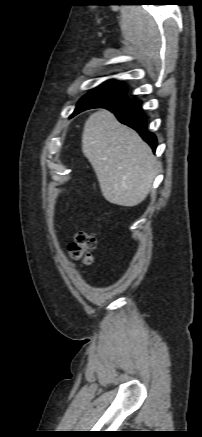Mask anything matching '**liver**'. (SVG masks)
<instances>
[{
    "label": "liver",
    "mask_w": 202,
    "mask_h": 437,
    "mask_svg": "<svg viewBox=\"0 0 202 437\" xmlns=\"http://www.w3.org/2000/svg\"><path fill=\"white\" fill-rule=\"evenodd\" d=\"M82 151L97 175L104 198L116 205L140 204L151 190L157 163L150 146L106 109L91 114Z\"/></svg>",
    "instance_id": "obj_1"
}]
</instances>
